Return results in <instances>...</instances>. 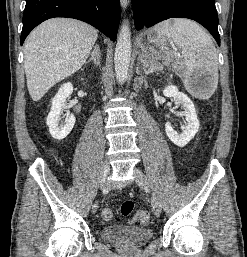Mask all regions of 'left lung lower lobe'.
<instances>
[{
    "label": "left lung lower lobe",
    "mask_w": 247,
    "mask_h": 257,
    "mask_svg": "<svg viewBox=\"0 0 247 257\" xmlns=\"http://www.w3.org/2000/svg\"><path fill=\"white\" fill-rule=\"evenodd\" d=\"M137 30L169 18H188L203 25L220 46L218 15L214 0H132Z\"/></svg>",
    "instance_id": "1"
}]
</instances>
